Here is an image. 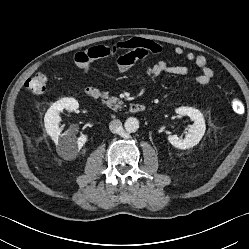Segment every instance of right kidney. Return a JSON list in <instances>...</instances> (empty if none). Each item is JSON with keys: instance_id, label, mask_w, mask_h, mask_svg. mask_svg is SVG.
<instances>
[{"instance_id": "ca27d5eb", "label": "right kidney", "mask_w": 249, "mask_h": 249, "mask_svg": "<svg viewBox=\"0 0 249 249\" xmlns=\"http://www.w3.org/2000/svg\"><path fill=\"white\" fill-rule=\"evenodd\" d=\"M78 107L79 103L74 98H63L53 103L44 117L47 134L55 142L58 154L65 160H71L76 157L79 150L87 141V136L82 134L76 139L75 131L72 129L61 133L59 113L63 109L74 111Z\"/></svg>"}]
</instances>
